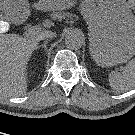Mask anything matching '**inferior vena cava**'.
<instances>
[{
  "label": "inferior vena cava",
  "instance_id": "1",
  "mask_svg": "<svg viewBox=\"0 0 135 135\" xmlns=\"http://www.w3.org/2000/svg\"><path fill=\"white\" fill-rule=\"evenodd\" d=\"M56 37V33L54 32H51V31H42L39 35V38L41 40H44V39H48V38H54Z\"/></svg>",
  "mask_w": 135,
  "mask_h": 135
}]
</instances>
